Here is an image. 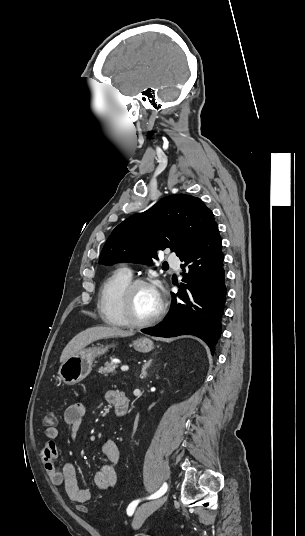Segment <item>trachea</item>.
Returning <instances> with one entry per match:
<instances>
[{
  "instance_id": "3493384b",
  "label": "trachea",
  "mask_w": 305,
  "mask_h": 536,
  "mask_svg": "<svg viewBox=\"0 0 305 536\" xmlns=\"http://www.w3.org/2000/svg\"><path fill=\"white\" fill-rule=\"evenodd\" d=\"M165 268H167V269H168V268H169V267H168V265H165Z\"/></svg>"
}]
</instances>
